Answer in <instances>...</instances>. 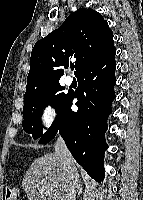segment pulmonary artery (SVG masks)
<instances>
[{"mask_svg": "<svg viewBox=\"0 0 143 200\" xmlns=\"http://www.w3.org/2000/svg\"><path fill=\"white\" fill-rule=\"evenodd\" d=\"M72 82H73V79H72L70 76H67V77L65 78V83H66L67 85H71Z\"/></svg>", "mask_w": 143, "mask_h": 200, "instance_id": "pulmonary-artery-1", "label": "pulmonary artery"}]
</instances>
